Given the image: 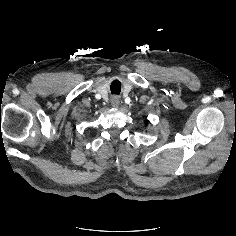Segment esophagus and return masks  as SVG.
I'll list each match as a JSON object with an SVG mask.
<instances>
[{
  "label": "esophagus",
  "instance_id": "obj_1",
  "mask_svg": "<svg viewBox=\"0 0 236 236\" xmlns=\"http://www.w3.org/2000/svg\"><path fill=\"white\" fill-rule=\"evenodd\" d=\"M119 103V99L117 98V97H114L113 99H112V104L115 106V105H117Z\"/></svg>",
  "mask_w": 236,
  "mask_h": 236
}]
</instances>
